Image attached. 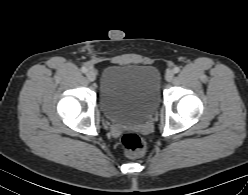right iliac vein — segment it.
Masks as SVG:
<instances>
[{
	"label": "right iliac vein",
	"mask_w": 248,
	"mask_h": 195,
	"mask_svg": "<svg viewBox=\"0 0 248 195\" xmlns=\"http://www.w3.org/2000/svg\"><path fill=\"white\" fill-rule=\"evenodd\" d=\"M86 76L89 81H94L96 79V72L94 70H89L87 71Z\"/></svg>",
	"instance_id": "right-iliac-vein-1"
}]
</instances>
